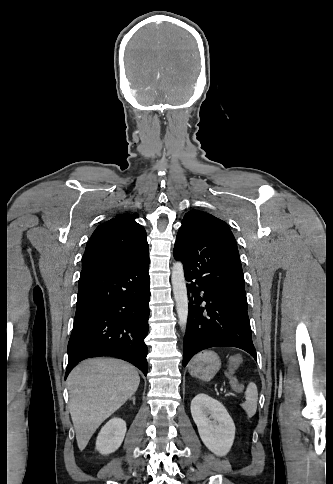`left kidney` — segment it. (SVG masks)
<instances>
[{
  "label": "left kidney",
  "instance_id": "left-kidney-1",
  "mask_svg": "<svg viewBox=\"0 0 333 484\" xmlns=\"http://www.w3.org/2000/svg\"><path fill=\"white\" fill-rule=\"evenodd\" d=\"M191 414L205 446L217 456H225L235 438V425L225 407L200 393L191 402Z\"/></svg>",
  "mask_w": 333,
  "mask_h": 484
}]
</instances>
